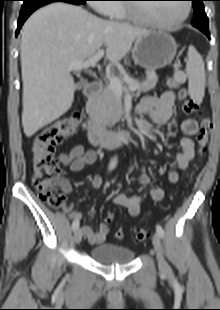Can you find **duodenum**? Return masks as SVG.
I'll list each match as a JSON object with an SVG mask.
<instances>
[{"instance_id":"1","label":"duodenum","mask_w":220,"mask_h":310,"mask_svg":"<svg viewBox=\"0 0 220 310\" xmlns=\"http://www.w3.org/2000/svg\"><path fill=\"white\" fill-rule=\"evenodd\" d=\"M102 85L100 82L93 81L85 89V96L94 101L100 94ZM86 136L89 142L95 146L116 148L124 146L131 140V134L127 130H110L99 126L95 121L89 120L85 127Z\"/></svg>"}]
</instances>
